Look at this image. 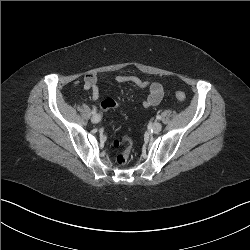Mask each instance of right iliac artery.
<instances>
[{"instance_id":"obj_1","label":"right iliac artery","mask_w":250,"mask_h":250,"mask_svg":"<svg viewBox=\"0 0 250 250\" xmlns=\"http://www.w3.org/2000/svg\"><path fill=\"white\" fill-rule=\"evenodd\" d=\"M96 112H97V110L94 108V109L92 110V114H96Z\"/></svg>"}]
</instances>
